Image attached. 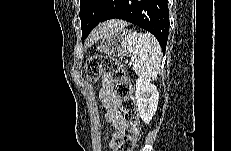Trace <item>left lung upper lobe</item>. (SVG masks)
Listing matches in <instances>:
<instances>
[{
	"label": "left lung upper lobe",
	"mask_w": 231,
	"mask_h": 151,
	"mask_svg": "<svg viewBox=\"0 0 231 151\" xmlns=\"http://www.w3.org/2000/svg\"><path fill=\"white\" fill-rule=\"evenodd\" d=\"M117 0H80V19L82 39L86 38L103 16L113 7Z\"/></svg>",
	"instance_id": "1"
}]
</instances>
